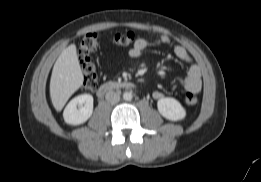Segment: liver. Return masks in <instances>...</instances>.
Here are the masks:
<instances>
[{
    "label": "liver",
    "instance_id": "liver-1",
    "mask_svg": "<svg viewBox=\"0 0 261 182\" xmlns=\"http://www.w3.org/2000/svg\"><path fill=\"white\" fill-rule=\"evenodd\" d=\"M83 74L79 64L76 45L65 48L57 58L50 80V97L56 111H61L83 84Z\"/></svg>",
    "mask_w": 261,
    "mask_h": 182
}]
</instances>
